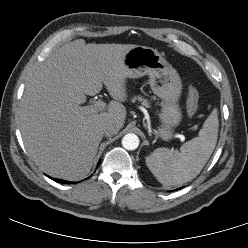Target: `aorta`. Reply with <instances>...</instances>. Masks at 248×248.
Returning a JSON list of instances; mask_svg holds the SVG:
<instances>
[{
	"instance_id": "1",
	"label": "aorta",
	"mask_w": 248,
	"mask_h": 248,
	"mask_svg": "<svg viewBox=\"0 0 248 248\" xmlns=\"http://www.w3.org/2000/svg\"><path fill=\"white\" fill-rule=\"evenodd\" d=\"M122 145L127 150H135L139 146V138L133 133L126 134L122 139Z\"/></svg>"
}]
</instances>
